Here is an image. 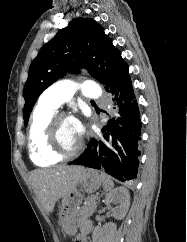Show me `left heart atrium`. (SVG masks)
<instances>
[{
	"instance_id": "obj_1",
	"label": "left heart atrium",
	"mask_w": 187,
	"mask_h": 242,
	"mask_svg": "<svg viewBox=\"0 0 187 242\" xmlns=\"http://www.w3.org/2000/svg\"><path fill=\"white\" fill-rule=\"evenodd\" d=\"M72 121V125L77 133V135L80 137V135L82 134L83 132V127H82V124L80 123L79 120L75 119V118H72L71 119Z\"/></svg>"
}]
</instances>
